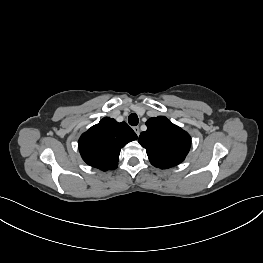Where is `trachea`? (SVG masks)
I'll list each match as a JSON object with an SVG mask.
<instances>
[{"instance_id": "1", "label": "trachea", "mask_w": 263, "mask_h": 263, "mask_svg": "<svg viewBox=\"0 0 263 263\" xmlns=\"http://www.w3.org/2000/svg\"><path fill=\"white\" fill-rule=\"evenodd\" d=\"M138 122H139V119H138L137 114L132 113V114L129 115V117H128V123H129L131 126H136V125H138Z\"/></svg>"}]
</instances>
